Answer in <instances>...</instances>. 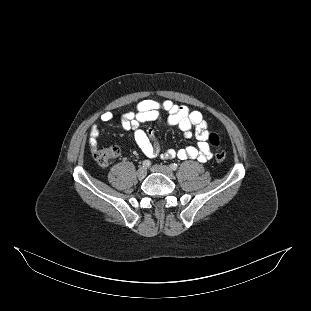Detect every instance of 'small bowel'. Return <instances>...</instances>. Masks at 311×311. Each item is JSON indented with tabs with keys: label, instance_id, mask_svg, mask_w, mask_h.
<instances>
[{
	"label": "small bowel",
	"instance_id": "obj_1",
	"mask_svg": "<svg viewBox=\"0 0 311 311\" xmlns=\"http://www.w3.org/2000/svg\"><path fill=\"white\" fill-rule=\"evenodd\" d=\"M161 112L167 113L166 122L170 126L179 128L185 137L193 135L197 139L196 146H188L179 150H162L153 131H145L141 125L145 122L160 121ZM113 119L111 112H104L100 116L102 122H110ZM120 122L124 130L133 133L134 140L140 150L148 158L181 160L197 159L206 162L212 158V153L208 143L210 131L208 124L201 112L190 110L187 106L177 105L171 100H142L136 105L135 111L125 112L120 115ZM100 131L97 124H93L88 142L92 150L97 146Z\"/></svg>",
	"mask_w": 311,
	"mask_h": 311
}]
</instances>
